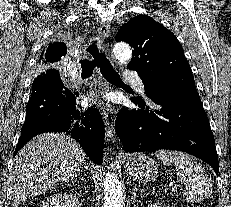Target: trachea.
Returning a JSON list of instances; mask_svg holds the SVG:
<instances>
[{
	"instance_id": "1",
	"label": "trachea",
	"mask_w": 231,
	"mask_h": 207,
	"mask_svg": "<svg viewBox=\"0 0 231 207\" xmlns=\"http://www.w3.org/2000/svg\"><path fill=\"white\" fill-rule=\"evenodd\" d=\"M87 51L90 53L92 60L83 59L80 60L81 68H82V77H90L92 75L93 70L97 67L100 68L102 75L112 83H123L122 79L116 73L106 58L102 49L99 48L98 41H93L88 47Z\"/></svg>"
}]
</instances>
